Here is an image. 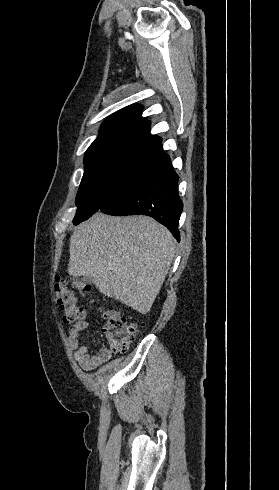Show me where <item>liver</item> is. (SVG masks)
<instances>
[{"label":"liver","instance_id":"6515ba94","mask_svg":"<svg viewBox=\"0 0 279 490\" xmlns=\"http://www.w3.org/2000/svg\"><path fill=\"white\" fill-rule=\"evenodd\" d=\"M176 242L149 216L113 218L101 212L75 228L68 274L87 276L96 288L148 314L169 272Z\"/></svg>","mask_w":279,"mask_h":490}]
</instances>
